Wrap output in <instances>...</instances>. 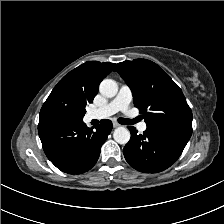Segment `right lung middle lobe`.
I'll return each instance as SVG.
<instances>
[{
	"label": "right lung middle lobe",
	"instance_id": "dd1d6c3e",
	"mask_svg": "<svg viewBox=\"0 0 224 224\" xmlns=\"http://www.w3.org/2000/svg\"><path fill=\"white\" fill-rule=\"evenodd\" d=\"M87 101L79 94L70 91L58 84L43 104L40 114L53 113L75 120H82Z\"/></svg>",
	"mask_w": 224,
	"mask_h": 224
}]
</instances>
